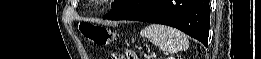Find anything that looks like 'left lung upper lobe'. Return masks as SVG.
Segmentation results:
<instances>
[{"instance_id":"5c2ea615","label":"left lung upper lobe","mask_w":261,"mask_h":59,"mask_svg":"<svg viewBox=\"0 0 261 59\" xmlns=\"http://www.w3.org/2000/svg\"><path fill=\"white\" fill-rule=\"evenodd\" d=\"M124 0H115L112 7L115 8L116 6H118L119 4H121Z\"/></svg>"}]
</instances>
